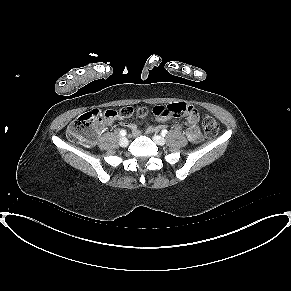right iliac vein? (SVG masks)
<instances>
[{"label": "right iliac vein", "instance_id": "right-iliac-vein-1", "mask_svg": "<svg viewBox=\"0 0 291 291\" xmlns=\"http://www.w3.org/2000/svg\"><path fill=\"white\" fill-rule=\"evenodd\" d=\"M119 145L121 147H127V145H128V139L126 137H121L119 139Z\"/></svg>", "mask_w": 291, "mask_h": 291}]
</instances>
